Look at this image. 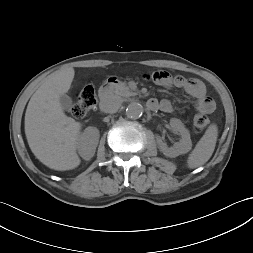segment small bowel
I'll list each match as a JSON object with an SVG mask.
<instances>
[{"label":"small bowel","mask_w":253,"mask_h":253,"mask_svg":"<svg viewBox=\"0 0 253 253\" xmlns=\"http://www.w3.org/2000/svg\"><path fill=\"white\" fill-rule=\"evenodd\" d=\"M146 77L152 79L156 84L166 88L174 86L183 89L194 99L195 108L201 113L209 114L215 109V102L207 96L204 83L198 79L171 76L165 71H156ZM155 101L157 103L156 109L163 112H171L173 110L172 103L168 99Z\"/></svg>","instance_id":"1"}]
</instances>
